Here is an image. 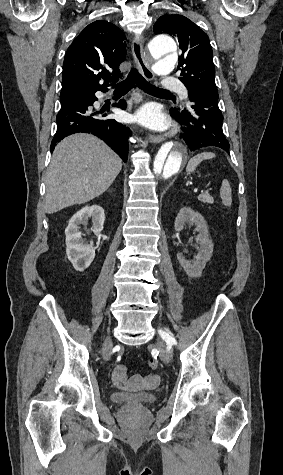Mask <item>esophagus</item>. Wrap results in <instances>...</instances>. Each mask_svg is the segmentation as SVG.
Returning <instances> with one entry per match:
<instances>
[{
  "label": "esophagus",
  "mask_w": 283,
  "mask_h": 475,
  "mask_svg": "<svg viewBox=\"0 0 283 475\" xmlns=\"http://www.w3.org/2000/svg\"><path fill=\"white\" fill-rule=\"evenodd\" d=\"M143 37H135L132 41L131 44V49L133 53V57L135 60V63L142 73V75L146 78V80H153L154 79V73L152 72L149 64L146 62L145 55H144V50H143ZM164 140L163 137L159 135H149V141L151 143H160Z\"/></svg>",
  "instance_id": "34e87169"
}]
</instances>
